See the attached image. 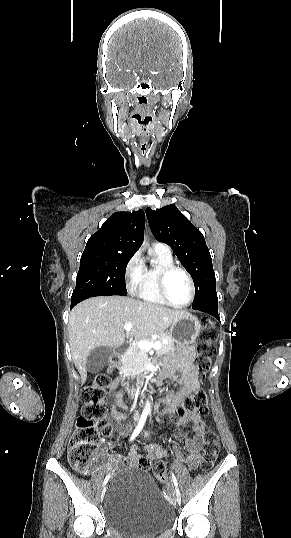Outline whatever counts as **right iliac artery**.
Masks as SVG:
<instances>
[{
    "mask_svg": "<svg viewBox=\"0 0 291 538\" xmlns=\"http://www.w3.org/2000/svg\"><path fill=\"white\" fill-rule=\"evenodd\" d=\"M146 419H147V414L146 413H142L141 417H140V420L138 422V425L136 426V428L134 429L131 437H130V440L129 441H132L134 440L138 434L140 433V431L142 430L145 422H146ZM109 480V475H107L103 481V485H105Z\"/></svg>",
    "mask_w": 291,
    "mask_h": 538,
    "instance_id": "82829eb1",
    "label": "right iliac artery"
}]
</instances>
